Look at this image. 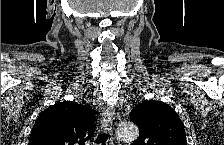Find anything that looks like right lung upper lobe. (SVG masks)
<instances>
[{
    "mask_svg": "<svg viewBox=\"0 0 224 145\" xmlns=\"http://www.w3.org/2000/svg\"><path fill=\"white\" fill-rule=\"evenodd\" d=\"M96 113L76 102H58L39 115L29 145H84L94 134Z\"/></svg>",
    "mask_w": 224,
    "mask_h": 145,
    "instance_id": "obj_1",
    "label": "right lung upper lobe"
}]
</instances>
